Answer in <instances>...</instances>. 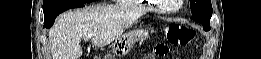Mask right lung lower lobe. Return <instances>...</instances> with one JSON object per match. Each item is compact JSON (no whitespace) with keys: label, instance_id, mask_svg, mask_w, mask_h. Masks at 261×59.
<instances>
[{"label":"right lung lower lobe","instance_id":"98d812e1","mask_svg":"<svg viewBox=\"0 0 261 59\" xmlns=\"http://www.w3.org/2000/svg\"><path fill=\"white\" fill-rule=\"evenodd\" d=\"M84 4H80V3H75V4H69V5H66L62 8H60L58 11L48 15V16H44V28H50L53 24H54V21H55V18L62 12L68 10V9H71V8H78V7H83Z\"/></svg>","mask_w":261,"mask_h":59}]
</instances>
